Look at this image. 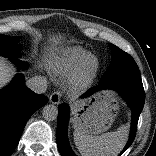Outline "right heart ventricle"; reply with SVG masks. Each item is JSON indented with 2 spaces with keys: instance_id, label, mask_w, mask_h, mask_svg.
<instances>
[{
  "instance_id": "right-heart-ventricle-1",
  "label": "right heart ventricle",
  "mask_w": 156,
  "mask_h": 156,
  "mask_svg": "<svg viewBox=\"0 0 156 156\" xmlns=\"http://www.w3.org/2000/svg\"><path fill=\"white\" fill-rule=\"evenodd\" d=\"M86 63L96 64L97 58L83 48L70 47L51 58L48 65L54 76L66 79L73 76Z\"/></svg>"
}]
</instances>
